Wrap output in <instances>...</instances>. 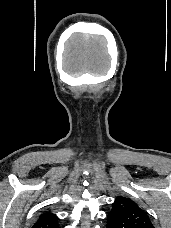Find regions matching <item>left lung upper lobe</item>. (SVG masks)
Segmentation results:
<instances>
[{"label": "left lung upper lobe", "instance_id": "1", "mask_svg": "<svg viewBox=\"0 0 171 228\" xmlns=\"http://www.w3.org/2000/svg\"><path fill=\"white\" fill-rule=\"evenodd\" d=\"M107 221L113 228H154L147 212L130 198L122 196L115 199Z\"/></svg>", "mask_w": 171, "mask_h": 228}]
</instances>
